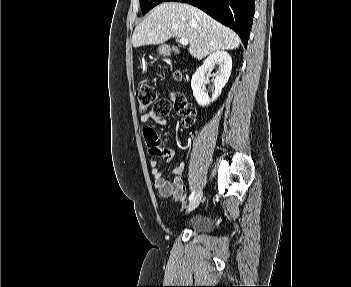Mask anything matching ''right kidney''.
<instances>
[{"label": "right kidney", "mask_w": 351, "mask_h": 287, "mask_svg": "<svg viewBox=\"0 0 351 287\" xmlns=\"http://www.w3.org/2000/svg\"><path fill=\"white\" fill-rule=\"evenodd\" d=\"M218 65L219 70L213 74L215 91L210 99L203 88L205 74L211 75L213 68ZM232 69V59L226 51H216L210 54L203 64L196 70L191 80L193 95L197 103L204 107L215 101L221 94L222 88L228 82Z\"/></svg>", "instance_id": "1"}]
</instances>
